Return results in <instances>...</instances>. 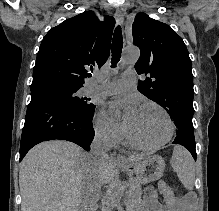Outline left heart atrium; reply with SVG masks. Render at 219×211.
<instances>
[{"label": "left heart atrium", "instance_id": "left-heart-atrium-1", "mask_svg": "<svg viewBox=\"0 0 219 211\" xmlns=\"http://www.w3.org/2000/svg\"><path fill=\"white\" fill-rule=\"evenodd\" d=\"M138 111V106L134 98H125L123 100L114 101L108 104V112L110 115L117 117L122 112V119L127 126Z\"/></svg>", "mask_w": 219, "mask_h": 211}]
</instances>
